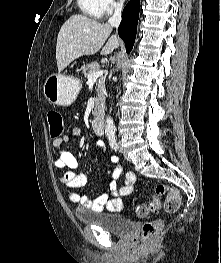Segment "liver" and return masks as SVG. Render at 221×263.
<instances>
[{
	"mask_svg": "<svg viewBox=\"0 0 221 263\" xmlns=\"http://www.w3.org/2000/svg\"><path fill=\"white\" fill-rule=\"evenodd\" d=\"M112 32L108 24L100 23L85 15H72L62 25L56 45V60L59 71L72 61L83 56L93 55L104 45ZM119 47V39L111 36L102 48V55H108Z\"/></svg>",
	"mask_w": 221,
	"mask_h": 263,
	"instance_id": "liver-1",
	"label": "liver"
}]
</instances>
